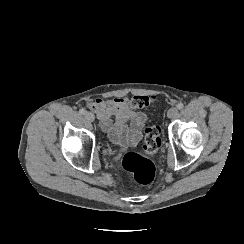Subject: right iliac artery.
<instances>
[{"instance_id":"obj_1","label":"right iliac artery","mask_w":244,"mask_h":244,"mask_svg":"<svg viewBox=\"0 0 244 244\" xmlns=\"http://www.w3.org/2000/svg\"><path fill=\"white\" fill-rule=\"evenodd\" d=\"M79 113L84 115L86 113V110L82 108V109L79 110Z\"/></svg>"}]
</instances>
